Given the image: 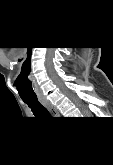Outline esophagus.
<instances>
[{"label":"esophagus","mask_w":113,"mask_h":165,"mask_svg":"<svg viewBox=\"0 0 113 165\" xmlns=\"http://www.w3.org/2000/svg\"><path fill=\"white\" fill-rule=\"evenodd\" d=\"M40 102L43 106H45L48 109V111L51 113L53 117H59L58 110L50 101L46 99H40Z\"/></svg>","instance_id":"1"}]
</instances>
